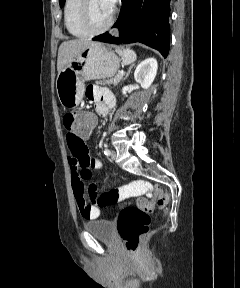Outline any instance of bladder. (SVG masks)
Masks as SVG:
<instances>
[{
	"label": "bladder",
	"instance_id": "bladder-1",
	"mask_svg": "<svg viewBox=\"0 0 240 288\" xmlns=\"http://www.w3.org/2000/svg\"><path fill=\"white\" fill-rule=\"evenodd\" d=\"M84 229L96 238L113 243L116 239L115 225L109 220H94L84 224Z\"/></svg>",
	"mask_w": 240,
	"mask_h": 288
}]
</instances>
